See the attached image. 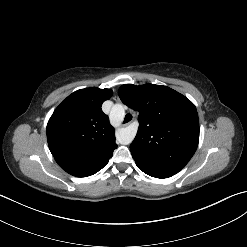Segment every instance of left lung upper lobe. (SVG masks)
Instances as JSON below:
<instances>
[{
  "instance_id": "left-lung-upper-lobe-1",
  "label": "left lung upper lobe",
  "mask_w": 247,
  "mask_h": 247,
  "mask_svg": "<svg viewBox=\"0 0 247 247\" xmlns=\"http://www.w3.org/2000/svg\"><path fill=\"white\" fill-rule=\"evenodd\" d=\"M118 94L124 104L139 112L138 132L130 145L133 158L172 174L183 169L199 142L194 104L177 91L155 84H125Z\"/></svg>"
}]
</instances>
